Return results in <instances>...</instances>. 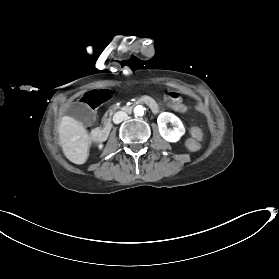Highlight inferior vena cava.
<instances>
[{
  "label": "inferior vena cava",
  "mask_w": 279,
  "mask_h": 279,
  "mask_svg": "<svg viewBox=\"0 0 279 279\" xmlns=\"http://www.w3.org/2000/svg\"><path fill=\"white\" fill-rule=\"evenodd\" d=\"M127 119V114L125 112L119 111L117 112L114 117H113V121L118 124L120 122H122L123 120Z\"/></svg>",
  "instance_id": "1"
}]
</instances>
